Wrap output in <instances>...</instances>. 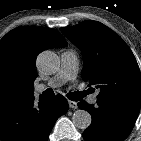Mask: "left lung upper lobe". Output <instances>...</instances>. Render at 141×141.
Here are the masks:
<instances>
[{
    "instance_id": "obj_1",
    "label": "left lung upper lobe",
    "mask_w": 141,
    "mask_h": 141,
    "mask_svg": "<svg viewBox=\"0 0 141 141\" xmlns=\"http://www.w3.org/2000/svg\"><path fill=\"white\" fill-rule=\"evenodd\" d=\"M83 55L82 78L100 89L97 101L117 105H141V74L127 44L97 21L61 28Z\"/></svg>"
}]
</instances>
